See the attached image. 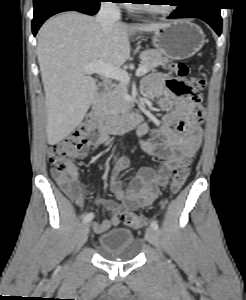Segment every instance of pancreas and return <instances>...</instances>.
<instances>
[{"mask_svg":"<svg viewBox=\"0 0 246 300\" xmlns=\"http://www.w3.org/2000/svg\"><path fill=\"white\" fill-rule=\"evenodd\" d=\"M141 66L145 67L146 73L158 66H164L169 62L158 50H146L140 54ZM128 88L124 83H118L104 93L99 101V108L103 114L116 115L127 109Z\"/></svg>","mask_w":246,"mask_h":300,"instance_id":"1","label":"pancreas"}]
</instances>
